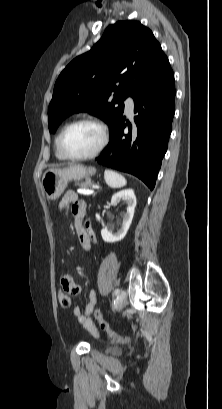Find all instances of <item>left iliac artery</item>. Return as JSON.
Masks as SVG:
<instances>
[{"instance_id":"44dca946","label":"left iliac artery","mask_w":222,"mask_h":409,"mask_svg":"<svg viewBox=\"0 0 222 409\" xmlns=\"http://www.w3.org/2000/svg\"><path fill=\"white\" fill-rule=\"evenodd\" d=\"M114 294H115L116 296H118V295L120 294V290H119V289H116V290L114 291Z\"/></svg>"}]
</instances>
